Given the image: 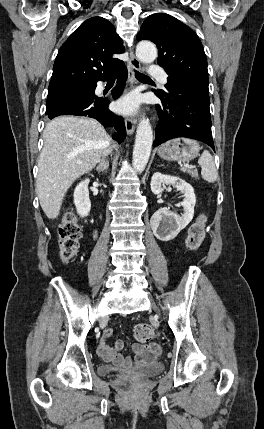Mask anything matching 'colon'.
I'll list each match as a JSON object with an SVG mask.
<instances>
[{
  "label": "colon",
  "instance_id": "5ec220e1",
  "mask_svg": "<svg viewBox=\"0 0 264 429\" xmlns=\"http://www.w3.org/2000/svg\"><path fill=\"white\" fill-rule=\"evenodd\" d=\"M205 216L201 215L193 223L188 231L186 246L190 250H196L201 245L205 237ZM82 237V230L74 214L68 213L58 228L60 257L64 262H69L75 257L79 249V241ZM153 330L148 324H138L133 330L135 340L140 344H145L153 338ZM131 388V385H127Z\"/></svg>",
  "mask_w": 264,
  "mask_h": 429
}]
</instances>
